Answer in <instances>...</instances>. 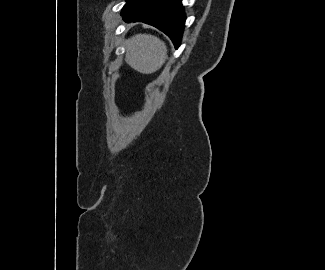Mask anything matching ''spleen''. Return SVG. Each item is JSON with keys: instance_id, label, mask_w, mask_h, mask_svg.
I'll return each instance as SVG.
<instances>
[{"instance_id": "3e777b00", "label": "spleen", "mask_w": 325, "mask_h": 270, "mask_svg": "<svg viewBox=\"0 0 325 270\" xmlns=\"http://www.w3.org/2000/svg\"><path fill=\"white\" fill-rule=\"evenodd\" d=\"M125 61L143 74L159 70L167 58V46L159 38L148 34H136L125 44Z\"/></svg>"}]
</instances>
